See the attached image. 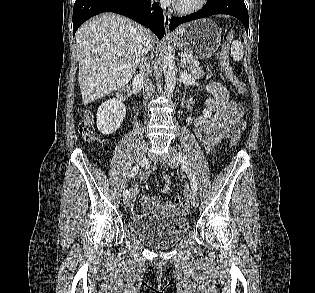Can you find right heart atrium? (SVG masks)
<instances>
[{
    "label": "right heart atrium",
    "mask_w": 315,
    "mask_h": 293,
    "mask_svg": "<svg viewBox=\"0 0 315 293\" xmlns=\"http://www.w3.org/2000/svg\"><path fill=\"white\" fill-rule=\"evenodd\" d=\"M161 3H164L166 0H159Z\"/></svg>",
    "instance_id": "right-heart-atrium-1"
}]
</instances>
